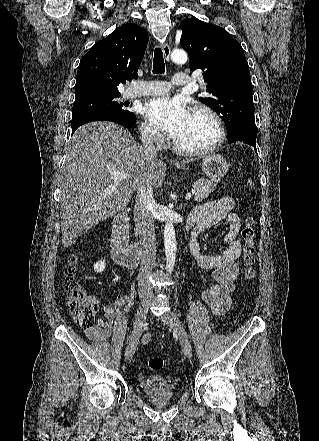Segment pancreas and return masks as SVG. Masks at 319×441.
I'll use <instances>...</instances> for the list:
<instances>
[{
    "label": "pancreas",
    "instance_id": "obj_1",
    "mask_svg": "<svg viewBox=\"0 0 319 441\" xmlns=\"http://www.w3.org/2000/svg\"><path fill=\"white\" fill-rule=\"evenodd\" d=\"M219 182V180H206V179H199L194 182L193 188L195 190L194 193V200L196 202H201L202 200L206 199L210 193H212L215 188L216 184Z\"/></svg>",
    "mask_w": 319,
    "mask_h": 441
}]
</instances>
